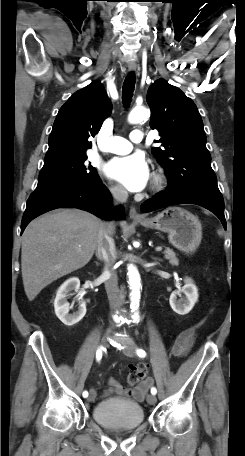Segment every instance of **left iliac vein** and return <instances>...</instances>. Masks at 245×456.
<instances>
[{"label":"left iliac vein","mask_w":245,"mask_h":456,"mask_svg":"<svg viewBox=\"0 0 245 456\" xmlns=\"http://www.w3.org/2000/svg\"><path fill=\"white\" fill-rule=\"evenodd\" d=\"M122 352L129 357H134L136 355V345L134 343H129L123 350ZM157 401V398L153 394H149L147 396V402L150 405H154Z\"/></svg>","instance_id":"left-iliac-vein-1"}]
</instances>
